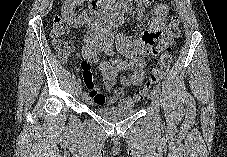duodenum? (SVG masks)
<instances>
[{"label": "duodenum", "mask_w": 227, "mask_h": 157, "mask_svg": "<svg viewBox=\"0 0 227 157\" xmlns=\"http://www.w3.org/2000/svg\"><path fill=\"white\" fill-rule=\"evenodd\" d=\"M91 2V9L93 11L94 15H97L99 11L102 9L103 4L101 0H90ZM121 23L122 22V16L121 15H116L115 18L107 24H102L97 21H93L91 23V31L94 33H102L106 32L112 25V23Z\"/></svg>", "instance_id": "410a0bca"}]
</instances>
